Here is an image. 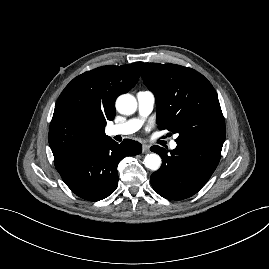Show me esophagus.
Segmentation results:
<instances>
[{
  "label": "esophagus",
  "mask_w": 269,
  "mask_h": 269,
  "mask_svg": "<svg viewBox=\"0 0 269 269\" xmlns=\"http://www.w3.org/2000/svg\"><path fill=\"white\" fill-rule=\"evenodd\" d=\"M142 152H143L144 154L149 153V152H150L149 146L144 144V145L142 146Z\"/></svg>",
  "instance_id": "34e87169"
}]
</instances>
